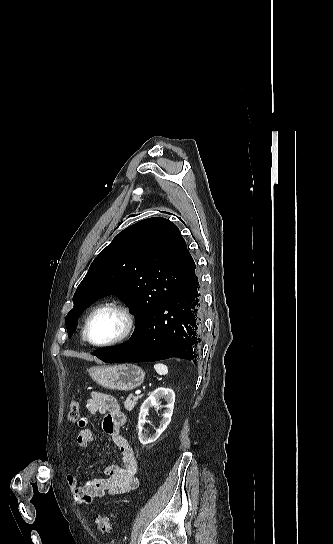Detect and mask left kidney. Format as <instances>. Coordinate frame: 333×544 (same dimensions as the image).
Masks as SVG:
<instances>
[{
    "label": "left kidney",
    "instance_id": "5707ae66",
    "mask_svg": "<svg viewBox=\"0 0 333 544\" xmlns=\"http://www.w3.org/2000/svg\"><path fill=\"white\" fill-rule=\"evenodd\" d=\"M164 398L167 402L166 404V410L163 413V419L160 422V426L156 429V432L153 435H149L147 432H144V425L147 422L146 416L148 414V410L152 406H160L159 400ZM174 403H175V393L172 389L169 388H158L152 394L143 402L140 413H139V420H138V437L139 441L143 445H147L149 443L155 442L160 435L166 430L167 426L169 425L171 421V417L173 414L174 409Z\"/></svg>",
    "mask_w": 333,
    "mask_h": 544
}]
</instances>
